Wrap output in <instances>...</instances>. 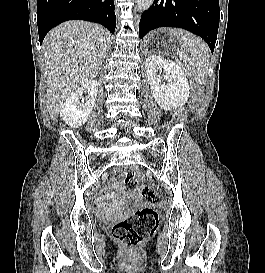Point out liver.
Instances as JSON below:
<instances>
[{
  "label": "liver",
  "instance_id": "liver-1",
  "mask_svg": "<svg viewBox=\"0 0 265 273\" xmlns=\"http://www.w3.org/2000/svg\"><path fill=\"white\" fill-rule=\"evenodd\" d=\"M109 43V34L103 27L86 21H67L48 33L43 50L51 119L57 120L71 93L98 75Z\"/></svg>",
  "mask_w": 265,
  "mask_h": 273
}]
</instances>
